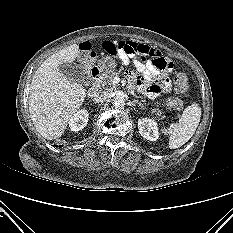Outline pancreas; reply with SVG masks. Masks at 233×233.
Listing matches in <instances>:
<instances>
[{"label":"pancreas","mask_w":233,"mask_h":233,"mask_svg":"<svg viewBox=\"0 0 233 233\" xmlns=\"http://www.w3.org/2000/svg\"><path fill=\"white\" fill-rule=\"evenodd\" d=\"M118 76L117 73L111 72L110 74L106 75L102 80L101 84L102 86L108 91L112 92L113 90L116 89V84L114 83V77ZM144 101V100H142ZM156 116L160 117L161 119H165V116L162 114V112L158 109H154L152 111Z\"/></svg>","instance_id":"cf45deb5"}]
</instances>
